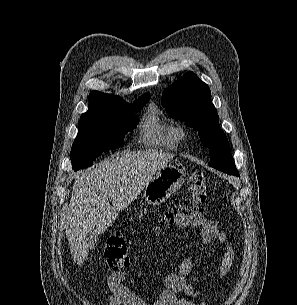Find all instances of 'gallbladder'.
Listing matches in <instances>:
<instances>
[{
	"mask_svg": "<svg viewBox=\"0 0 297 305\" xmlns=\"http://www.w3.org/2000/svg\"><path fill=\"white\" fill-rule=\"evenodd\" d=\"M89 250H93L96 248L98 244V236L95 235H87L85 237Z\"/></svg>",
	"mask_w": 297,
	"mask_h": 305,
	"instance_id": "1",
	"label": "gallbladder"
}]
</instances>
